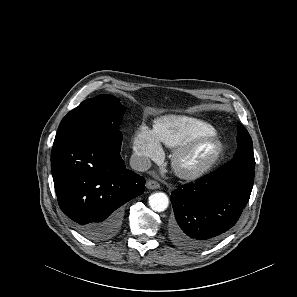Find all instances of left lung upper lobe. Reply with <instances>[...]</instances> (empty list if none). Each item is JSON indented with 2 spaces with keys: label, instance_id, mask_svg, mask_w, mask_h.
I'll list each match as a JSON object with an SVG mask.
<instances>
[{
  "label": "left lung upper lobe",
  "instance_id": "5c2ea615",
  "mask_svg": "<svg viewBox=\"0 0 297 297\" xmlns=\"http://www.w3.org/2000/svg\"><path fill=\"white\" fill-rule=\"evenodd\" d=\"M238 148L233 158H254L252 139L244 126L238 123Z\"/></svg>",
  "mask_w": 297,
  "mask_h": 297
}]
</instances>
